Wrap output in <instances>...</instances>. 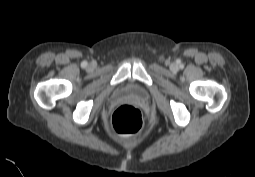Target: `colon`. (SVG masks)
Listing matches in <instances>:
<instances>
[{
    "mask_svg": "<svg viewBox=\"0 0 255 177\" xmlns=\"http://www.w3.org/2000/svg\"><path fill=\"white\" fill-rule=\"evenodd\" d=\"M142 125V114L133 105H121L114 111L111 117V127L114 132L120 135H133L140 131Z\"/></svg>",
    "mask_w": 255,
    "mask_h": 177,
    "instance_id": "1",
    "label": "colon"
}]
</instances>
